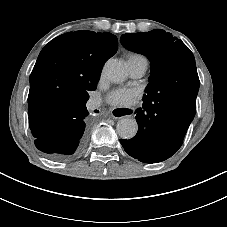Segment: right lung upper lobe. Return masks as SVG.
I'll list each match as a JSON object with an SVG mask.
<instances>
[{"mask_svg": "<svg viewBox=\"0 0 227 227\" xmlns=\"http://www.w3.org/2000/svg\"><path fill=\"white\" fill-rule=\"evenodd\" d=\"M118 48L109 32L75 31L58 36L40 52L30 75L29 125L36 138L60 125L66 106L88 99L104 63Z\"/></svg>", "mask_w": 227, "mask_h": 227, "instance_id": "right-lung-upper-lobe-1", "label": "right lung upper lobe"}]
</instances>
